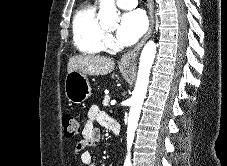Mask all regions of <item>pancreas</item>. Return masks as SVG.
<instances>
[{
    "mask_svg": "<svg viewBox=\"0 0 227 166\" xmlns=\"http://www.w3.org/2000/svg\"><path fill=\"white\" fill-rule=\"evenodd\" d=\"M110 99L111 98L109 95H105L104 100H103V106L107 107L109 105Z\"/></svg>",
    "mask_w": 227,
    "mask_h": 166,
    "instance_id": "1",
    "label": "pancreas"
}]
</instances>
